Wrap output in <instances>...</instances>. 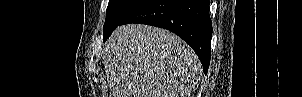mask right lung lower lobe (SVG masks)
<instances>
[{
    "instance_id": "1",
    "label": "right lung lower lobe",
    "mask_w": 302,
    "mask_h": 97,
    "mask_svg": "<svg viewBox=\"0 0 302 97\" xmlns=\"http://www.w3.org/2000/svg\"><path fill=\"white\" fill-rule=\"evenodd\" d=\"M128 23L174 32L193 48L207 73L212 38L209 0H144L119 25Z\"/></svg>"
}]
</instances>
